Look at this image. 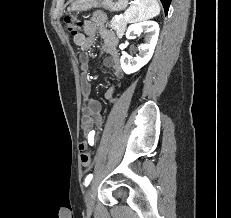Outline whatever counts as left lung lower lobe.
<instances>
[{"mask_svg":"<svg viewBox=\"0 0 231 218\" xmlns=\"http://www.w3.org/2000/svg\"><path fill=\"white\" fill-rule=\"evenodd\" d=\"M161 2L163 4L165 14H167L171 0H161Z\"/></svg>","mask_w":231,"mask_h":218,"instance_id":"obj_1","label":"left lung lower lobe"}]
</instances>
